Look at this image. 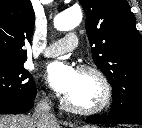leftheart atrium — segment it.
Masks as SVG:
<instances>
[{"label": "left heart atrium", "instance_id": "obj_1", "mask_svg": "<svg viewBox=\"0 0 142 128\" xmlns=\"http://www.w3.org/2000/svg\"><path fill=\"white\" fill-rule=\"evenodd\" d=\"M80 72L65 62H53L46 69V80L59 94L69 96L76 89Z\"/></svg>", "mask_w": 142, "mask_h": 128}]
</instances>
